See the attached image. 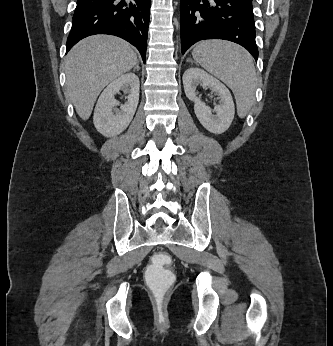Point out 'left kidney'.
<instances>
[{
  "mask_svg": "<svg viewBox=\"0 0 333 346\" xmlns=\"http://www.w3.org/2000/svg\"><path fill=\"white\" fill-rule=\"evenodd\" d=\"M184 91L188 99L193 101L196 117L208 131L214 134L224 133L234 119V102L228 88L213 76L199 68H189L183 74ZM201 84L218 95L219 105L212 110L197 97L196 87Z\"/></svg>",
  "mask_w": 333,
  "mask_h": 346,
  "instance_id": "1",
  "label": "left kidney"
}]
</instances>
